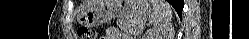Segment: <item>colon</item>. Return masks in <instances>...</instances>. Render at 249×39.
<instances>
[{
    "label": "colon",
    "instance_id": "5ec220e1",
    "mask_svg": "<svg viewBox=\"0 0 249 39\" xmlns=\"http://www.w3.org/2000/svg\"><path fill=\"white\" fill-rule=\"evenodd\" d=\"M77 33L80 39H94L95 38V36L92 34V32L87 27H80Z\"/></svg>",
    "mask_w": 249,
    "mask_h": 39
}]
</instances>
